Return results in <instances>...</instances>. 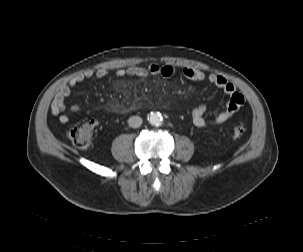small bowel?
<instances>
[{"instance_id":"small-bowel-1","label":"small bowel","mask_w":303,"mask_h":252,"mask_svg":"<svg viewBox=\"0 0 303 252\" xmlns=\"http://www.w3.org/2000/svg\"><path fill=\"white\" fill-rule=\"evenodd\" d=\"M111 70L106 68L88 69L79 73L73 77L68 83L62 85L55 94L50 111L54 116H58L59 122L66 124L69 122V115L65 112L64 101L71 95L72 88L83 82L88 78L102 79L111 74ZM178 72V69L171 64H152L148 67L144 66H129L124 69H117L114 74L118 77L133 76L139 78H145L149 75L170 77ZM182 74L192 80H202L205 78V74L200 70L184 68ZM207 79L210 83L224 91L229 97V101L223 111L218 113L212 118L205 116V107L199 106L192 110L191 120L192 123L200 128L213 127L216 125L227 122L244 104V96L240 93L235 85L228 81L225 77L218 74H209ZM71 111L78 112L81 110L80 105H73L70 107Z\"/></svg>"}]
</instances>
